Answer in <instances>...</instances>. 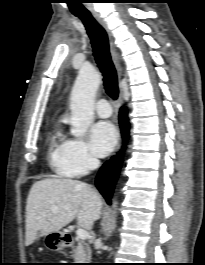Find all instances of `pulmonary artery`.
Wrapping results in <instances>:
<instances>
[{"label": "pulmonary artery", "instance_id": "1", "mask_svg": "<svg viewBox=\"0 0 205 265\" xmlns=\"http://www.w3.org/2000/svg\"><path fill=\"white\" fill-rule=\"evenodd\" d=\"M95 111L102 118H107L112 113L111 106L106 99H101L96 103Z\"/></svg>", "mask_w": 205, "mask_h": 265}]
</instances>
